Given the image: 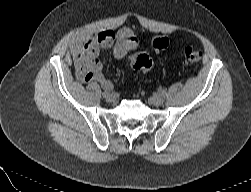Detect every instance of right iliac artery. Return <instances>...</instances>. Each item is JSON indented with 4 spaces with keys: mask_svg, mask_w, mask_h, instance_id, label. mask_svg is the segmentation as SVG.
<instances>
[{
    "mask_svg": "<svg viewBox=\"0 0 251 192\" xmlns=\"http://www.w3.org/2000/svg\"><path fill=\"white\" fill-rule=\"evenodd\" d=\"M110 93V88H106L104 92L102 93L103 97L106 98V96Z\"/></svg>",
    "mask_w": 251,
    "mask_h": 192,
    "instance_id": "obj_1",
    "label": "right iliac artery"
}]
</instances>
